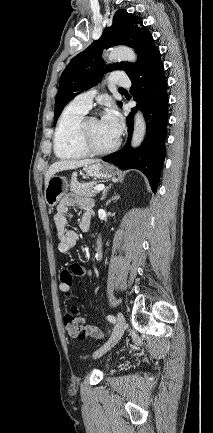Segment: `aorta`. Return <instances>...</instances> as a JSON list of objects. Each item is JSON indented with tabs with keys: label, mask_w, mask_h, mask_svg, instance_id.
Returning <instances> with one entry per match:
<instances>
[{
	"label": "aorta",
	"mask_w": 213,
	"mask_h": 433,
	"mask_svg": "<svg viewBox=\"0 0 213 433\" xmlns=\"http://www.w3.org/2000/svg\"><path fill=\"white\" fill-rule=\"evenodd\" d=\"M108 59L110 61L125 60L129 62H135L137 56L131 48L120 46V47L112 48L110 50L108 54ZM145 134H146V122L142 112L138 111L134 117V130H133L131 146L134 148L139 147L144 140ZM96 256L99 260L102 259V244L100 238L97 240Z\"/></svg>",
	"instance_id": "obj_1"
}]
</instances>
